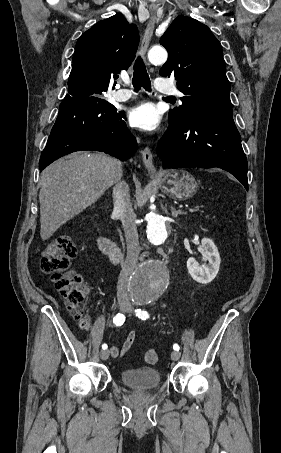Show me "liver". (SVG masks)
<instances>
[{
	"mask_svg": "<svg viewBox=\"0 0 281 453\" xmlns=\"http://www.w3.org/2000/svg\"><path fill=\"white\" fill-rule=\"evenodd\" d=\"M65 158L55 160L41 172L42 241L50 239L62 224L96 202L121 176L119 160L105 152L84 150L69 160Z\"/></svg>",
	"mask_w": 281,
	"mask_h": 453,
	"instance_id": "1",
	"label": "liver"
}]
</instances>
